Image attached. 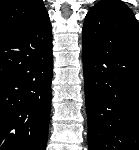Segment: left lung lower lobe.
I'll return each mask as SVG.
<instances>
[{
  "label": "left lung lower lobe",
  "instance_id": "obj_1",
  "mask_svg": "<svg viewBox=\"0 0 139 150\" xmlns=\"http://www.w3.org/2000/svg\"><path fill=\"white\" fill-rule=\"evenodd\" d=\"M83 68L89 150H139V25L119 0L86 15Z\"/></svg>",
  "mask_w": 139,
  "mask_h": 150
}]
</instances>
